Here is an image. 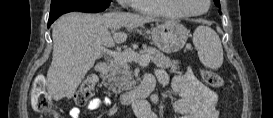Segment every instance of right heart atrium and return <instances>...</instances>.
Segmentation results:
<instances>
[{
	"label": "right heart atrium",
	"mask_w": 273,
	"mask_h": 118,
	"mask_svg": "<svg viewBox=\"0 0 273 118\" xmlns=\"http://www.w3.org/2000/svg\"><path fill=\"white\" fill-rule=\"evenodd\" d=\"M119 3L123 8H127L129 6H132V3L134 2L133 0H119Z\"/></svg>",
	"instance_id": "d8ad5b80"
}]
</instances>
